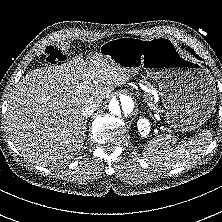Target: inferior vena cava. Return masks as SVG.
<instances>
[{"mask_svg": "<svg viewBox=\"0 0 222 222\" xmlns=\"http://www.w3.org/2000/svg\"><path fill=\"white\" fill-rule=\"evenodd\" d=\"M98 104L93 100L87 101L82 108V115L85 117L90 116L94 111L98 109Z\"/></svg>", "mask_w": 222, "mask_h": 222, "instance_id": "602c4592", "label": "inferior vena cava"}]
</instances>
